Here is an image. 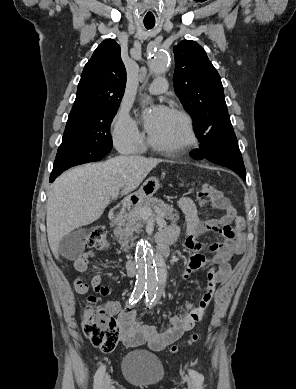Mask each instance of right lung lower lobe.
I'll use <instances>...</instances> for the list:
<instances>
[{
	"mask_svg": "<svg viewBox=\"0 0 296 389\" xmlns=\"http://www.w3.org/2000/svg\"><path fill=\"white\" fill-rule=\"evenodd\" d=\"M65 169H53L50 175L49 182H53L57 176H59Z\"/></svg>",
	"mask_w": 296,
	"mask_h": 389,
	"instance_id": "obj_1",
	"label": "right lung lower lobe"
}]
</instances>
